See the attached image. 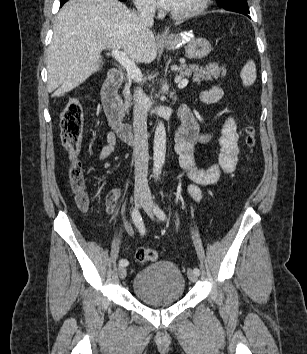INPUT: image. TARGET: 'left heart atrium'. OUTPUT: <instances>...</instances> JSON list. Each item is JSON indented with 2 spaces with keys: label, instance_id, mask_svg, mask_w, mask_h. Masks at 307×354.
I'll return each instance as SVG.
<instances>
[{
  "label": "left heart atrium",
  "instance_id": "1",
  "mask_svg": "<svg viewBox=\"0 0 307 354\" xmlns=\"http://www.w3.org/2000/svg\"><path fill=\"white\" fill-rule=\"evenodd\" d=\"M153 2L164 10H172L176 0H153Z\"/></svg>",
  "mask_w": 307,
  "mask_h": 354
}]
</instances>
